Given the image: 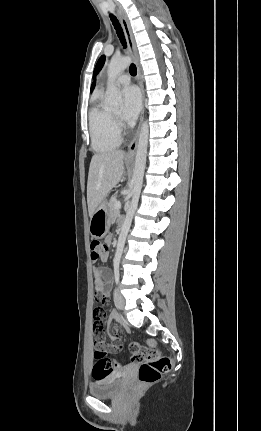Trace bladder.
Wrapping results in <instances>:
<instances>
[{
	"label": "bladder",
	"instance_id": "1",
	"mask_svg": "<svg viewBox=\"0 0 261 431\" xmlns=\"http://www.w3.org/2000/svg\"><path fill=\"white\" fill-rule=\"evenodd\" d=\"M124 386V378L119 377H101L89 385V393L97 398H113L117 396Z\"/></svg>",
	"mask_w": 261,
	"mask_h": 431
}]
</instances>
